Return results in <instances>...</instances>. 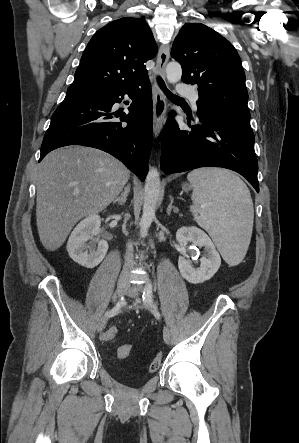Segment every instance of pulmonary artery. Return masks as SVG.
Segmentation results:
<instances>
[{"label": "pulmonary artery", "mask_w": 299, "mask_h": 443, "mask_svg": "<svg viewBox=\"0 0 299 443\" xmlns=\"http://www.w3.org/2000/svg\"><path fill=\"white\" fill-rule=\"evenodd\" d=\"M178 93L181 96L189 98L192 101L194 109H197L198 94L194 88L187 85H180L178 87Z\"/></svg>", "instance_id": "pulmonary-artery-1"}]
</instances>
